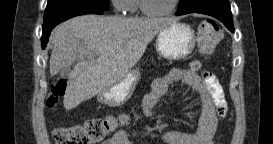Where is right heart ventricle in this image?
Masks as SVG:
<instances>
[{
  "mask_svg": "<svg viewBox=\"0 0 273 144\" xmlns=\"http://www.w3.org/2000/svg\"><path fill=\"white\" fill-rule=\"evenodd\" d=\"M140 6L139 0H130L128 3V11L135 12Z\"/></svg>",
  "mask_w": 273,
  "mask_h": 144,
  "instance_id": "right-heart-ventricle-1",
  "label": "right heart ventricle"
}]
</instances>
